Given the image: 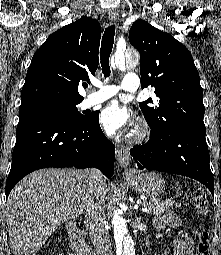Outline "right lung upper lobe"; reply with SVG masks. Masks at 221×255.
Segmentation results:
<instances>
[{
    "mask_svg": "<svg viewBox=\"0 0 221 255\" xmlns=\"http://www.w3.org/2000/svg\"><path fill=\"white\" fill-rule=\"evenodd\" d=\"M101 28L83 16L51 34L34 54L21 91L20 109L44 103H76L80 82L98 68Z\"/></svg>",
    "mask_w": 221,
    "mask_h": 255,
    "instance_id": "1",
    "label": "right lung upper lobe"
}]
</instances>
